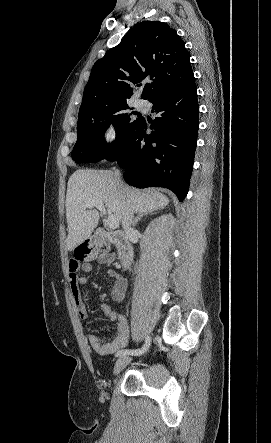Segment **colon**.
I'll list each match as a JSON object with an SVG mask.
<instances>
[{
  "label": "colon",
  "instance_id": "obj_1",
  "mask_svg": "<svg viewBox=\"0 0 271 443\" xmlns=\"http://www.w3.org/2000/svg\"><path fill=\"white\" fill-rule=\"evenodd\" d=\"M109 258V245L101 239L91 238L81 243L75 249L72 260L75 263L81 264L94 259L107 261Z\"/></svg>",
  "mask_w": 271,
  "mask_h": 443
}]
</instances>
